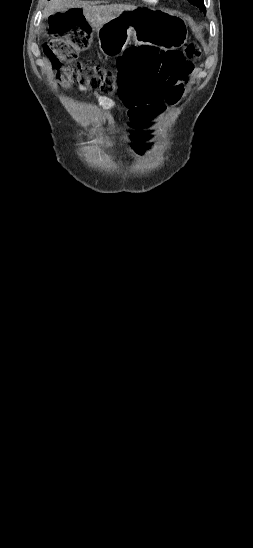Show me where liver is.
Instances as JSON below:
<instances>
[{
	"label": "liver",
	"instance_id": "liver-1",
	"mask_svg": "<svg viewBox=\"0 0 253 548\" xmlns=\"http://www.w3.org/2000/svg\"><path fill=\"white\" fill-rule=\"evenodd\" d=\"M72 8H82L86 20L95 29L103 27L111 19L125 11L136 9L135 6L124 4L91 5L82 0H50L45 8V14L49 16Z\"/></svg>",
	"mask_w": 253,
	"mask_h": 548
}]
</instances>
